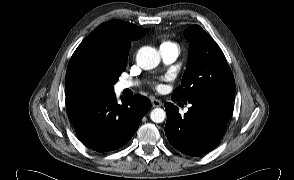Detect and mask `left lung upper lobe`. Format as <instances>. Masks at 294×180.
<instances>
[{"mask_svg":"<svg viewBox=\"0 0 294 180\" xmlns=\"http://www.w3.org/2000/svg\"><path fill=\"white\" fill-rule=\"evenodd\" d=\"M185 36L189 41L187 69L172 98L182 102L195 99L233 102L235 81L219 46L198 25L189 26Z\"/></svg>","mask_w":294,"mask_h":180,"instance_id":"obj_1","label":"left lung upper lobe"}]
</instances>
